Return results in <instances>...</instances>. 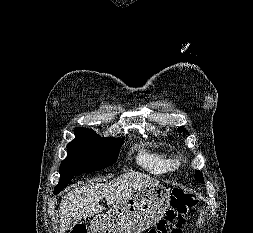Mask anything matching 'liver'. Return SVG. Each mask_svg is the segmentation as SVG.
I'll use <instances>...</instances> for the list:
<instances>
[{
  "label": "liver",
  "mask_w": 253,
  "mask_h": 233,
  "mask_svg": "<svg viewBox=\"0 0 253 233\" xmlns=\"http://www.w3.org/2000/svg\"><path fill=\"white\" fill-rule=\"evenodd\" d=\"M159 181L139 172L125 173L108 183L87 182L69 191L60 204V233L75 220L87 218L105 210L99 202L105 198L108 205H117L135 192Z\"/></svg>",
  "instance_id": "6515ba94"
}]
</instances>
